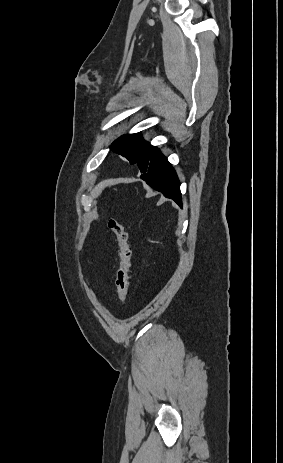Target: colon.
Wrapping results in <instances>:
<instances>
[{
  "mask_svg": "<svg viewBox=\"0 0 283 463\" xmlns=\"http://www.w3.org/2000/svg\"><path fill=\"white\" fill-rule=\"evenodd\" d=\"M107 225L118 240L119 265L116 273V289L119 302L121 305H124L129 288V271L131 265V250L128 243V234L124 226L115 218H108Z\"/></svg>",
  "mask_w": 283,
  "mask_h": 463,
  "instance_id": "1",
  "label": "colon"
}]
</instances>
